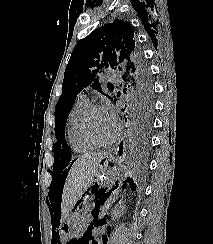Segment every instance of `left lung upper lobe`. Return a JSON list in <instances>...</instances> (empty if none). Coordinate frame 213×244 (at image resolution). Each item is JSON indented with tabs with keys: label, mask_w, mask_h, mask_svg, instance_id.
Returning <instances> with one entry per match:
<instances>
[{
	"label": "left lung upper lobe",
	"mask_w": 213,
	"mask_h": 244,
	"mask_svg": "<svg viewBox=\"0 0 213 244\" xmlns=\"http://www.w3.org/2000/svg\"><path fill=\"white\" fill-rule=\"evenodd\" d=\"M108 71L121 74L126 87L124 93L129 97V108L153 114L149 68L135 43L130 23L116 19L113 23L95 29L72 51L64 73L62 94L56 104L55 151L62 155L69 152L65 141V125L77 94L86 88L103 93L101 80ZM109 87L114 86L108 83ZM109 98L115 102L118 100L115 96Z\"/></svg>",
	"instance_id": "left-lung-upper-lobe-1"
}]
</instances>
